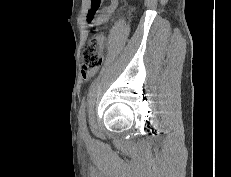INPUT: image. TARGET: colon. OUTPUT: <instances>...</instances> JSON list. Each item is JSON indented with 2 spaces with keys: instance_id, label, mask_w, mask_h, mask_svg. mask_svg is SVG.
Masks as SVG:
<instances>
[{
  "instance_id": "1",
  "label": "colon",
  "mask_w": 231,
  "mask_h": 177,
  "mask_svg": "<svg viewBox=\"0 0 231 177\" xmlns=\"http://www.w3.org/2000/svg\"><path fill=\"white\" fill-rule=\"evenodd\" d=\"M101 40L99 37H91L82 51V65L84 72H90L102 63Z\"/></svg>"
}]
</instances>
